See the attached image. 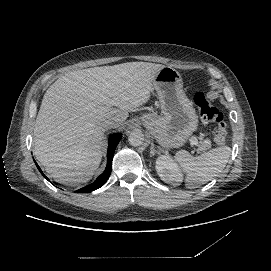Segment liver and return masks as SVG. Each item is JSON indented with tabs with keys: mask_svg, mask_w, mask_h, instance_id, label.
Wrapping results in <instances>:
<instances>
[{
	"mask_svg": "<svg viewBox=\"0 0 271 271\" xmlns=\"http://www.w3.org/2000/svg\"><path fill=\"white\" fill-rule=\"evenodd\" d=\"M165 65L128 62L73 71L46 91L33 128L34 155L55 181H88L101 161L104 118L123 123L151 99Z\"/></svg>",
	"mask_w": 271,
	"mask_h": 271,
	"instance_id": "6515ba94",
	"label": "liver"
}]
</instances>
